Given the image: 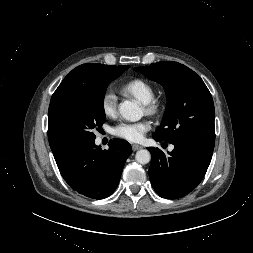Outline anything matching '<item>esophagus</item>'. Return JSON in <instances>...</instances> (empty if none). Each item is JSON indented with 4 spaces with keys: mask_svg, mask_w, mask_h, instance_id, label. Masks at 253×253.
Returning <instances> with one entry per match:
<instances>
[{
    "mask_svg": "<svg viewBox=\"0 0 253 253\" xmlns=\"http://www.w3.org/2000/svg\"><path fill=\"white\" fill-rule=\"evenodd\" d=\"M141 148H142V146H140V145H138V144H133V145H132L133 151H137V150H139V149H141Z\"/></svg>",
    "mask_w": 253,
    "mask_h": 253,
    "instance_id": "1",
    "label": "esophagus"
}]
</instances>
